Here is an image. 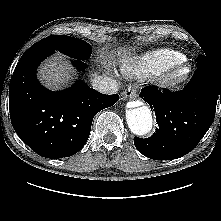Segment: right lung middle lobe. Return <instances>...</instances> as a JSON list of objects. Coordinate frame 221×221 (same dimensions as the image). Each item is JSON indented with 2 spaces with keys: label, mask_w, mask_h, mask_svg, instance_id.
I'll use <instances>...</instances> for the list:
<instances>
[{
  "label": "right lung middle lobe",
  "mask_w": 221,
  "mask_h": 221,
  "mask_svg": "<svg viewBox=\"0 0 221 221\" xmlns=\"http://www.w3.org/2000/svg\"><path fill=\"white\" fill-rule=\"evenodd\" d=\"M37 43L44 44L77 60L88 59L92 50L89 43L81 39L65 35L49 36Z\"/></svg>",
  "instance_id": "1"
}]
</instances>
